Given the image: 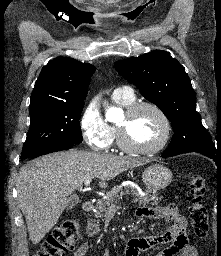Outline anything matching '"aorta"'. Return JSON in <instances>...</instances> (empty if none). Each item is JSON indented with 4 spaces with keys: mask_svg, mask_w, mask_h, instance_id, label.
I'll return each instance as SVG.
<instances>
[{
    "mask_svg": "<svg viewBox=\"0 0 221 256\" xmlns=\"http://www.w3.org/2000/svg\"><path fill=\"white\" fill-rule=\"evenodd\" d=\"M119 110L115 107H108L106 109V117L107 118H111L113 117L114 115H116V113L118 112Z\"/></svg>",
    "mask_w": 221,
    "mask_h": 256,
    "instance_id": "obj_1",
    "label": "aorta"
}]
</instances>
